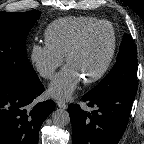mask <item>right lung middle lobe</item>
Listing matches in <instances>:
<instances>
[{"label": "right lung middle lobe", "mask_w": 144, "mask_h": 144, "mask_svg": "<svg viewBox=\"0 0 144 144\" xmlns=\"http://www.w3.org/2000/svg\"><path fill=\"white\" fill-rule=\"evenodd\" d=\"M39 17L38 10L0 12V83L32 86L39 81L25 47L27 35Z\"/></svg>", "instance_id": "right-lung-middle-lobe-1"}]
</instances>
